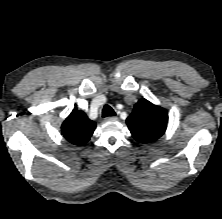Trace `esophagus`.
I'll return each instance as SVG.
<instances>
[{
    "instance_id": "obj_1",
    "label": "esophagus",
    "mask_w": 222,
    "mask_h": 219,
    "mask_svg": "<svg viewBox=\"0 0 222 219\" xmlns=\"http://www.w3.org/2000/svg\"><path fill=\"white\" fill-rule=\"evenodd\" d=\"M117 120H118V117H116V116H111V117H106L105 118V121H107V122L117 121Z\"/></svg>"
}]
</instances>
